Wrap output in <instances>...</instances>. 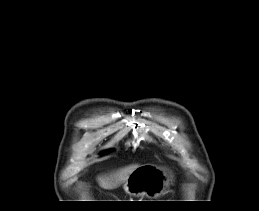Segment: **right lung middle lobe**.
<instances>
[{"mask_svg":"<svg viewBox=\"0 0 259 211\" xmlns=\"http://www.w3.org/2000/svg\"><path fill=\"white\" fill-rule=\"evenodd\" d=\"M109 152H111V150H107V151H105L104 153H109Z\"/></svg>","mask_w":259,"mask_h":211,"instance_id":"right-lung-middle-lobe-1","label":"right lung middle lobe"}]
</instances>
